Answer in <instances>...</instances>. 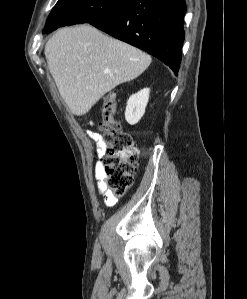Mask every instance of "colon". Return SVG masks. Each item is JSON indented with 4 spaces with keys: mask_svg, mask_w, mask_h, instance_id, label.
<instances>
[{
    "mask_svg": "<svg viewBox=\"0 0 247 299\" xmlns=\"http://www.w3.org/2000/svg\"><path fill=\"white\" fill-rule=\"evenodd\" d=\"M117 99L115 93L104 97L102 120L103 151L102 171L108 190L116 197L123 196L132 186L137 170L138 149L132 136L124 132L115 118Z\"/></svg>",
    "mask_w": 247,
    "mask_h": 299,
    "instance_id": "obj_1",
    "label": "colon"
}]
</instances>
